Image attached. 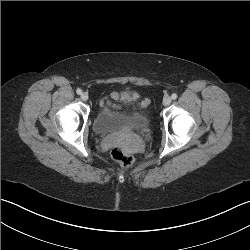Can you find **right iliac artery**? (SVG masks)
I'll use <instances>...</instances> for the list:
<instances>
[{
    "label": "right iliac artery",
    "mask_w": 250,
    "mask_h": 250,
    "mask_svg": "<svg viewBox=\"0 0 250 250\" xmlns=\"http://www.w3.org/2000/svg\"><path fill=\"white\" fill-rule=\"evenodd\" d=\"M76 92H77L78 95L82 94V90L79 89V88L76 90Z\"/></svg>",
    "instance_id": "obj_1"
}]
</instances>
